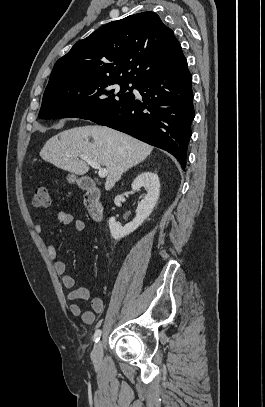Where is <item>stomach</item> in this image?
<instances>
[{
  "label": "stomach",
  "instance_id": "stomach-1",
  "mask_svg": "<svg viewBox=\"0 0 265 407\" xmlns=\"http://www.w3.org/2000/svg\"><path fill=\"white\" fill-rule=\"evenodd\" d=\"M67 180L70 183H74V182L79 183L81 181V179H77V177L74 174L68 175Z\"/></svg>",
  "mask_w": 265,
  "mask_h": 407
}]
</instances>
